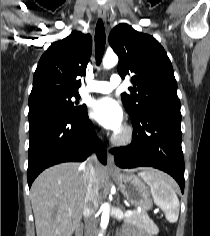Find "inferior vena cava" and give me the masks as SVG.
<instances>
[{"label": "inferior vena cava", "mask_w": 210, "mask_h": 236, "mask_svg": "<svg viewBox=\"0 0 210 236\" xmlns=\"http://www.w3.org/2000/svg\"><path fill=\"white\" fill-rule=\"evenodd\" d=\"M95 162V156L91 155L85 161L84 165L88 177L87 193L83 207V215L85 217V236H94L96 233L97 220L95 218V212L97 210L99 200V183L95 172Z\"/></svg>", "instance_id": "obj_1"}]
</instances>
